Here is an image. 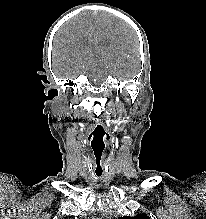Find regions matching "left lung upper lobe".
Masks as SVG:
<instances>
[{
    "instance_id": "left-lung-upper-lobe-1",
    "label": "left lung upper lobe",
    "mask_w": 206,
    "mask_h": 219,
    "mask_svg": "<svg viewBox=\"0 0 206 219\" xmlns=\"http://www.w3.org/2000/svg\"><path fill=\"white\" fill-rule=\"evenodd\" d=\"M118 219H150V217L144 214H138L135 217L123 216Z\"/></svg>"
}]
</instances>
